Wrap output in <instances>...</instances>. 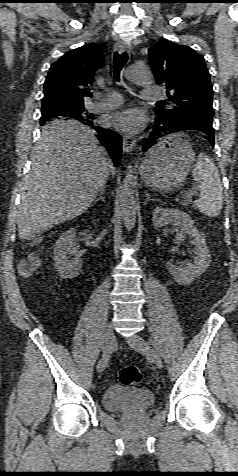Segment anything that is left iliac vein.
<instances>
[{
  "label": "left iliac vein",
  "instance_id": "left-iliac-vein-1",
  "mask_svg": "<svg viewBox=\"0 0 238 476\" xmlns=\"http://www.w3.org/2000/svg\"><path fill=\"white\" fill-rule=\"evenodd\" d=\"M128 344L137 352L146 355L158 369H162L163 362L160 355L138 334L127 338Z\"/></svg>",
  "mask_w": 238,
  "mask_h": 476
}]
</instances>
